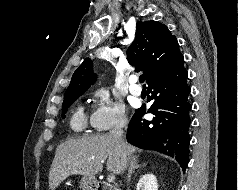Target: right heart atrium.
I'll use <instances>...</instances> for the list:
<instances>
[{"mask_svg": "<svg viewBox=\"0 0 238 190\" xmlns=\"http://www.w3.org/2000/svg\"><path fill=\"white\" fill-rule=\"evenodd\" d=\"M92 103L89 122L95 132L104 133L126 126L128 120L124 107L112 101L107 92L96 91Z\"/></svg>", "mask_w": 238, "mask_h": 190, "instance_id": "obj_1", "label": "right heart atrium"}]
</instances>
